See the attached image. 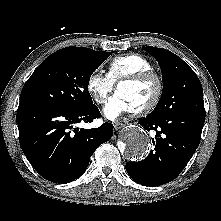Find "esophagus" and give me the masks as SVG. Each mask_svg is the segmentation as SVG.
Segmentation results:
<instances>
[{"label":"esophagus","mask_w":221,"mask_h":221,"mask_svg":"<svg viewBox=\"0 0 221 221\" xmlns=\"http://www.w3.org/2000/svg\"><path fill=\"white\" fill-rule=\"evenodd\" d=\"M113 125H114L115 130H119L124 126L122 122H118V121L114 122Z\"/></svg>","instance_id":"1"}]
</instances>
